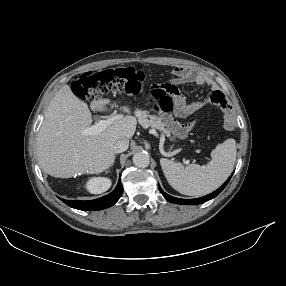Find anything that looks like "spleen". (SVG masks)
<instances>
[{"label":"spleen","mask_w":286,"mask_h":286,"mask_svg":"<svg viewBox=\"0 0 286 286\" xmlns=\"http://www.w3.org/2000/svg\"><path fill=\"white\" fill-rule=\"evenodd\" d=\"M212 160L206 166L160 159L168 183L178 192L188 196H203L221 186L232 172L236 160V142L227 139L211 152Z\"/></svg>","instance_id":"spleen-1"}]
</instances>
